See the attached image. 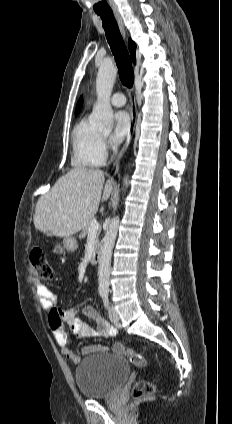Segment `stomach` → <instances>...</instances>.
I'll list each match as a JSON object with an SVG mask.
<instances>
[{"mask_svg":"<svg viewBox=\"0 0 232 424\" xmlns=\"http://www.w3.org/2000/svg\"><path fill=\"white\" fill-rule=\"evenodd\" d=\"M78 248L77 240L74 237H65L63 241L57 244L53 252L56 254H65L66 252H74Z\"/></svg>","mask_w":232,"mask_h":424,"instance_id":"0dacf381","label":"stomach"}]
</instances>
